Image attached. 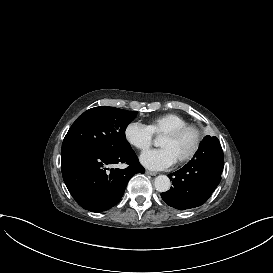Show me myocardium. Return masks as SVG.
<instances>
[{"mask_svg": "<svg viewBox=\"0 0 273 273\" xmlns=\"http://www.w3.org/2000/svg\"><path fill=\"white\" fill-rule=\"evenodd\" d=\"M188 131H191L194 134L193 143L189 152L183 158L177 161L179 164H183L190 161L197 154L200 148L201 138H202L201 129L195 124H187L185 126L166 131L162 133L160 136V137H176Z\"/></svg>", "mask_w": 273, "mask_h": 273, "instance_id": "myocardium-1", "label": "myocardium"}]
</instances>
